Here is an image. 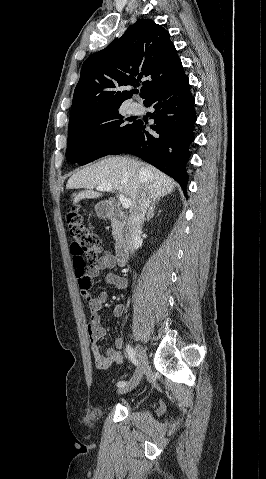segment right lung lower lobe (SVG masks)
Here are the masks:
<instances>
[{
	"instance_id": "98d812e1",
	"label": "right lung lower lobe",
	"mask_w": 266,
	"mask_h": 479,
	"mask_svg": "<svg viewBox=\"0 0 266 479\" xmlns=\"http://www.w3.org/2000/svg\"><path fill=\"white\" fill-rule=\"evenodd\" d=\"M152 106L155 132L145 130L138 120L126 137L109 154H134L173 177L186 194L188 175L185 165L189 160V145L194 140L192 126L196 121L194 97L185 74L160 87L144 102Z\"/></svg>"
}]
</instances>
